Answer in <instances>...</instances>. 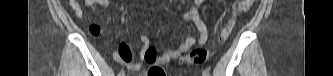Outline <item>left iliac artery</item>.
<instances>
[{"mask_svg": "<svg viewBox=\"0 0 333 76\" xmlns=\"http://www.w3.org/2000/svg\"><path fill=\"white\" fill-rule=\"evenodd\" d=\"M203 76H210V74H209L208 71H204V72H203Z\"/></svg>", "mask_w": 333, "mask_h": 76, "instance_id": "1", "label": "left iliac artery"}]
</instances>
